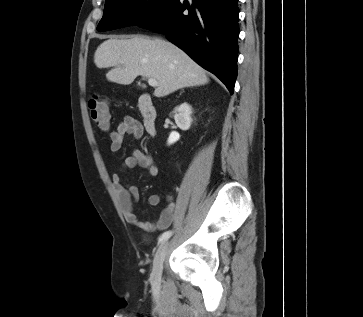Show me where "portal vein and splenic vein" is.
I'll return each mask as SVG.
<instances>
[{"instance_id": "1", "label": "portal vein and splenic vein", "mask_w": 363, "mask_h": 317, "mask_svg": "<svg viewBox=\"0 0 363 317\" xmlns=\"http://www.w3.org/2000/svg\"><path fill=\"white\" fill-rule=\"evenodd\" d=\"M148 84H149L150 86H152V87H157V86H158L157 81H156L155 79H153V78H149V79H148Z\"/></svg>"}]
</instances>
